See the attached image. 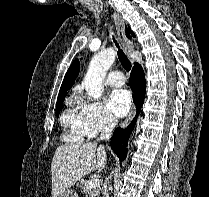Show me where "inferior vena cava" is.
<instances>
[{
    "instance_id": "602c4592",
    "label": "inferior vena cava",
    "mask_w": 209,
    "mask_h": 197,
    "mask_svg": "<svg viewBox=\"0 0 209 197\" xmlns=\"http://www.w3.org/2000/svg\"><path fill=\"white\" fill-rule=\"evenodd\" d=\"M116 124H117V119L116 118H114L112 115H109V114L106 115L104 125H103V128H102V132H101V135H100L99 139L100 140L110 139ZM107 181H108V178H106V180H105V185L106 186H107ZM103 195H104L103 197H109L107 188L104 189Z\"/></svg>"
}]
</instances>
